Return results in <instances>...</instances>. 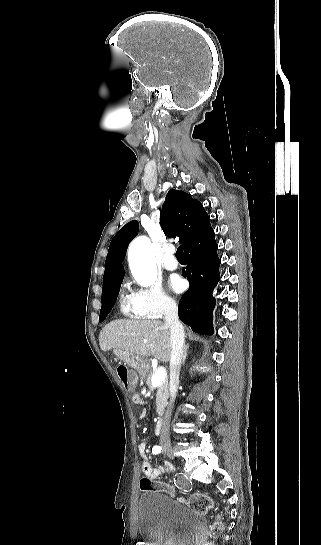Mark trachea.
<instances>
[{"instance_id": "1", "label": "trachea", "mask_w": 321, "mask_h": 545, "mask_svg": "<svg viewBox=\"0 0 321 545\" xmlns=\"http://www.w3.org/2000/svg\"><path fill=\"white\" fill-rule=\"evenodd\" d=\"M176 257H177V258L185 259L182 245H180V246L177 248Z\"/></svg>"}]
</instances>
